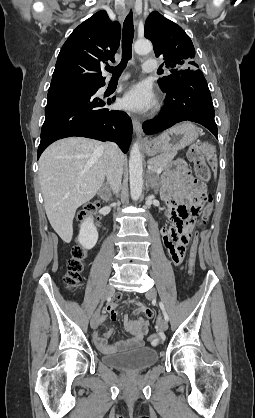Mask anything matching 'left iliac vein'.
Listing matches in <instances>:
<instances>
[{"mask_svg":"<svg viewBox=\"0 0 255 418\" xmlns=\"http://www.w3.org/2000/svg\"><path fill=\"white\" fill-rule=\"evenodd\" d=\"M157 295V292L154 288L150 289L147 293H146V297L149 299H155ZM159 327L161 330L166 331L168 329V322L165 319H161L159 321Z\"/></svg>","mask_w":255,"mask_h":418,"instance_id":"1","label":"left iliac vein"}]
</instances>
